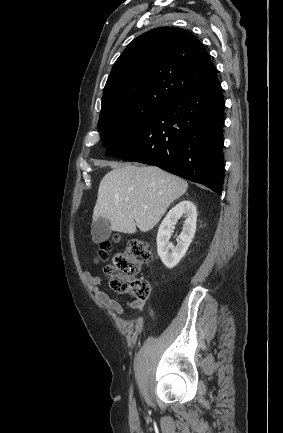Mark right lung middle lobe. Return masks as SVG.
<instances>
[{
    "mask_svg": "<svg viewBox=\"0 0 283 433\" xmlns=\"http://www.w3.org/2000/svg\"><path fill=\"white\" fill-rule=\"evenodd\" d=\"M156 104H125L100 113L98 127L107 148L106 155L114 156L123 151L163 108Z\"/></svg>",
    "mask_w": 283,
    "mask_h": 433,
    "instance_id": "1",
    "label": "right lung middle lobe"
}]
</instances>
